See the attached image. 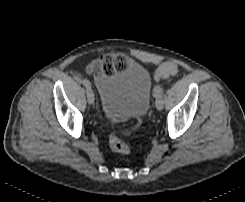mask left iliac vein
Returning a JSON list of instances; mask_svg holds the SVG:
<instances>
[{
  "mask_svg": "<svg viewBox=\"0 0 245 202\" xmlns=\"http://www.w3.org/2000/svg\"><path fill=\"white\" fill-rule=\"evenodd\" d=\"M155 105H156L157 110L161 111L164 108L163 98L161 97V98L157 99L155 102Z\"/></svg>",
  "mask_w": 245,
  "mask_h": 202,
  "instance_id": "left-iliac-vein-1",
  "label": "left iliac vein"
}]
</instances>
